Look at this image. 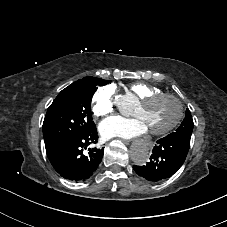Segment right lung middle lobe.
Wrapping results in <instances>:
<instances>
[{
    "label": "right lung middle lobe",
    "instance_id": "obj_1",
    "mask_svg": "<svg viewBox=\"0 0 227 227\" xmlns=\"http://www.w3.org/2000/svg\"><path fill=\"white\" fill-rule=\"evenodd\" d=\"M109 82L95 77H84L58 94L48 108L43 122L45 147L95 127L92 121L91 99L97 86Z\"/></svg>",
    "mask_w": 227,
    "mask_h": 227
}]
</instances>
